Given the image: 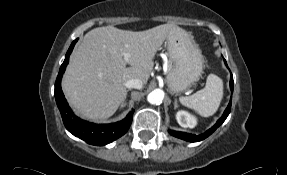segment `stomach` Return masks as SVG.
I'll use <instances>...</instances> for the list:
<instances>
[{
	"label": "stomach",
	"mask_w": 287,
	"mask_h": 175,
	"mask_svg": "<svg viewBox=\"0 0 287 175\" xmlns=\"http://www.w3.org/2000/svg\"><path fill=\"white\" fill-rule=\"evenodd\" d=\"M170 68L166 80L171 92H182L199 79L203 70V56L185 30H175L166 38Z\"/></svg>",
	"instance_id": "obj_1"
}]
</instances>
